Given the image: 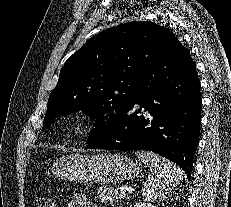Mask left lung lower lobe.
I'll list each match as a JSON object with an SVG mask.
<instances>
[{
  "mask_svg": "<svg viewBox=\"0 0 231 207\" xmlns=\"http://www.w3.org/2000/svg\"><path fill=\"white\" fill-rule=\"evenodd\" d=\"M200 111L195 64L177 39L140 76L138 97L126 109L117 129L87 147L153 151L178 164L190 179L199 141Z\"/></svg>",
  "mask_w": 231,
  "mask_h": 207,
  "instance_id": "obj_1",
  "label": "left lung lower lobe"
}]
</instances>
